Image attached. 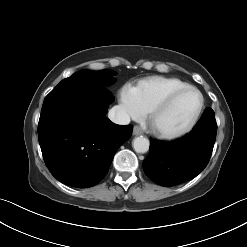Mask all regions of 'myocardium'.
<instances>
[{
    "label": "myocardium",
    "instance_id": "1",
    "mask_svg": "<svg viewBox=\"0 0 247 247\" xmlns=\"http://www.w3.org/2000/svg\"><path fill=\"white\" fill-rule=\"evenodd\" d=\"M190 91L196 92L200 96L199 107H198L197 111L195 112L193 118L190 120V122L185 127L181 128L177 131H163V130H160L159 128H157V126L155 125L156 118L162 112H164L173 103V101L177 97H179L180 95H182L186 92H190ZM204 107H205V99H204V95L202 94V92L199 89H197L196 87L189 86V87L182 88V89H179V90H176V91L170 93L164 99H162L160 102H158L149 111L148 123H149L151 130L158 137L163 138V139H177V138L183 137L186 134L190 133L195 128V126L197 125V123L200 120V117L203 113Z\"/></svg>",
    "mask_w": 247,
    "mask_h": 247
}]
</instances>
